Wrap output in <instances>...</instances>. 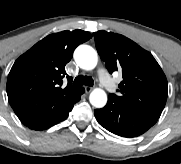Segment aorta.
Listing matches in <instances>:
<instances>
[{
	"label": "aorta",
	"mask_w": 181,
	"mask_h": 164,
	"mask_svg": "<svg viewBox=\"0 0 181 164\" xmlns=\"http://www.w3.org/2000/svg\"><path fill=\"white\" fill-rule=\"evenodd\" d=\"M77 65L84 70H92L98 62L97 52L88 45H80L74 52ZM89 101L95 108H102L107 103V94L101 88H95L89 96Z\"/></svg>",
	"instance_id": "aorta-1"
}]
</instances>
